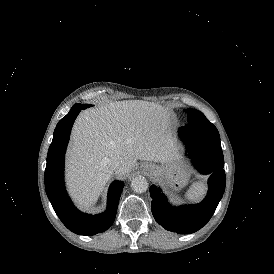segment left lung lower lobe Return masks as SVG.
<instances>
[{"label":"left lung lower lobe","instance_id":"1","mask_svg":"<svg viewBox=\"0 0 274 274\" xmlns=\"http://www.w3.org/2000/svg\"><path fill=\"white\" fill-rule=\"evenodd\" d=\"M180 137L196 168L211 174L205 199L196 205L171 206L156 186L150 187L151 209L155 220L166 230L179 234L194 233L212 217L225 190L223 153L218 130L199 129L191 126L180 128Z\"/></svg>","mask_w":274,"mask_h":274}]
</instances>
